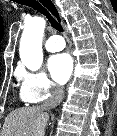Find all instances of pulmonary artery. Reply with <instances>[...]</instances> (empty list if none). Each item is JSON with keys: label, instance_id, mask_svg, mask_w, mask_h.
Masks as SVG:
<instances>
[{"label": "pulmonary artery", "instance_id": "pulmonary-artery-1", "mask_svg": "<svg viewBox=\"0 0 117 136\" xmlns=\"http://www.w3.org/2000/svg\"><path fill=\"white\" fill-rule=\"evenodd\" d=\"M65 47V42L60 36H51L45 42V48L49 52H57Z\"/></svg>", "mask_w": 117, "mask_h": 136}]
</instances>
